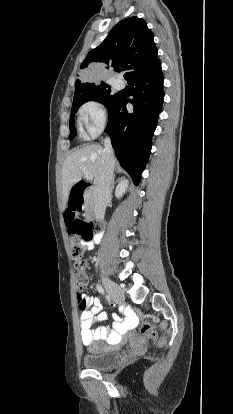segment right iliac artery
Listing matches in <instances>:
<instances>
[{
  "mask_svg": "<svg viewBox=\"0 0 233 414\" xmlns=\"http://www.w3.org/2000/svg\"><path fill=\"white\" fill-rule=\"evenodd\" d=\"M96 287L100 294L105 295V290L103 289L101 285L97 284Z\"/></svg>",
  "mask_w": 233,
  "mask_h": 414,
  "instance_id": "1",
  "label": "right iliac artery"
}]
</instances>
